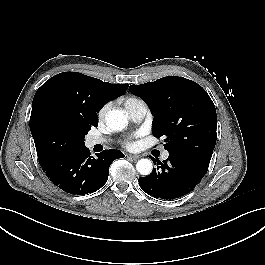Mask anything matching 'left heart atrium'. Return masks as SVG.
<instances>
[{
  "instance_id": "39dd6f15",
  "label": "left heart atrium",
  "mask_w": 265,
  "mask_h": 265,
  "mask_svg": "<svg viewBox=\"0 0 265 265\" xmlns=\"http://www.w3.org/2000/svg\"><path fill=\"white\" fill-rule=\"evenodd\" d=\"M125 144L128 148H132L134 146L132 139H128Z\"/></svg>"
}]
</instances>
